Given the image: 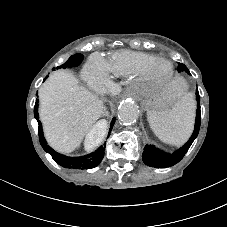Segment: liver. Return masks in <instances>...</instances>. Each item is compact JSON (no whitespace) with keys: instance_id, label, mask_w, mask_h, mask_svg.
I'll list each match as a JSON object with an SVG mask.
<instances>
[{"instance_id":"obj_1","label":"liver","mask_w":227,"mask_h":227,"mask_svg":"<svg viewBox=\"0 0 227 227\" xmlns=\"http://www.w3.org/2000/svg\"><path fill=\"white\" fill-rule=\"evenodd\" d=\"M101 101L66 75L54 76L41 89V117L51 144L61 152L80 146L102 115ZM105 129L94 146L101 143Z\"/></svg>"}]
</instances>
